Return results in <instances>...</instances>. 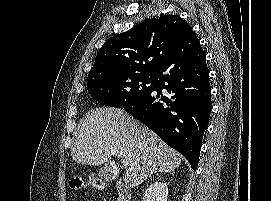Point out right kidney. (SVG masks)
<instances>
[{
    "mask_svg": "<svg viewBox=\"0 0 271 201\" xmlns=\"http://www.w3.org/2000/svg\"><path fill=\"white\" fill-rule=\"evenodd\" d=\"M168 186L163 182H154L143 194V201H167Z\"/></svg>",
    "mask_w": 271,
    "mask_h": 201,
    "instance_id": "obj_1",
    "label": "right kidney"
}]
</instances>
